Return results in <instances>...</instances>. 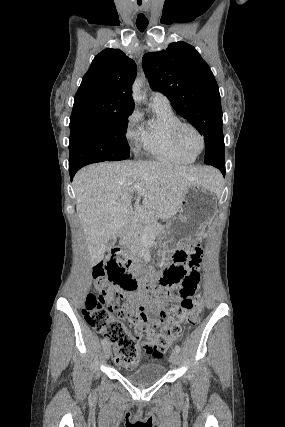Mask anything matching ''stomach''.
<instances>
[{
	"mask_svg": "<svg viewBox=\"0 0 285 427\" xmlns=\"http://www.w3.org/2000/svg\"><path fill=\"white\" fill-rule=\"evenodd\" d=\"M216 192L204 185L188 187L182 197L179 215L168 226L166 232L159 234L162 246L169 248L180 239H193L216 217Z\"/></svg>",
	"mask_w": 285,
	"mask_h": 427,
	"instance_id": "1",
	"label": "stomach"
}]
</instances>
